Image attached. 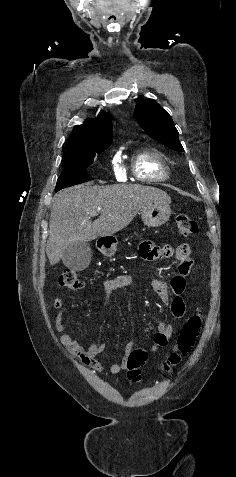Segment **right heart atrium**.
Returning <instances> with one entry per match:
<instances>
[{"label":"right heart atrium","instance_id":"1","mask_svg":"<svg viewBox=\"0 0 236 477\" xmlns=\"http://www.w3.org/2000/svg\"><path fill=\"white\" fill-rule=\"evenodd\" d=\"M112 163H113V168H114V171H115L116 175L121 179L124 178V171L121 168V166L119 165L118 161L116 159H114Z\"/></svg>","mask_w":236,"mask_h":477}]
</instances>
